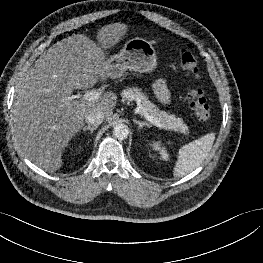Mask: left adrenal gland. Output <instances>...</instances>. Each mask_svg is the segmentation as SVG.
<instances>
[{"instance_id": "left-adrenal-gland-1", "label": "left adrenal gland", "mask_w": 263, "mask_h": 263, "mask_svg": "<svg viewBox=\"0 0 263 263\" xmlns=\"http://www.w3.org/2000/svg\"><path fill=\"white\" fill-rule=\"evenodd\" d=\"M133 122L135 124H138V129H142L144 126H147L148 128H150V124H148L147 122H141L136 119H133Z\"/></svg>"}]
</instances>
